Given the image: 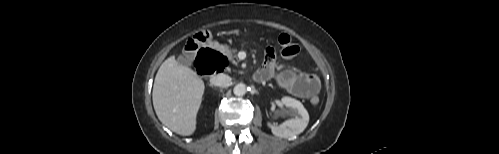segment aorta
<instances>
[{"label": "aorta", "mask_w": 499, "mask_h": 154, "mask_svg": "<svg viewBox=\"0 0 499 154\" xmlns=\"http://www.w3.org/2000/svg\"><path fill=\"white\" fill-rule=\"evenodd\" d=\"M247 91L246 85L244 83H238L234 86L233 92L237 96L245 95Z\"/></svg>", "instance_id": "obj_1"}]
</instances>
